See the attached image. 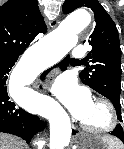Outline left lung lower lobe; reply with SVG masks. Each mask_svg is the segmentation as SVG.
Wrapping results in <instances>:
<instances>
[{
  "label": "left lung lower lobe",
  "mask_w": 124,
  "mask_h": 149,
  "mask_svg": "<svg viewBox=\"0 0 124 149\" xmlns=\"http://www.w3.org/2000/svg\"><path fill=\"white\" fill-rule=\"evenodd\" d=\"M68 60L69 57H66L61 63H60V68L61 70H65L67 65H68ZM49 70H47L46 72L43 73L42 77H44V75L48 72ZM75 132L73 131V134ZM112 135L116 136L117 138H119L123 143H124V132H123V128L120 124H117L115 130L111 133Z\"/></svg>",
  "instance_id": "obj_1"
}]
</instances>
